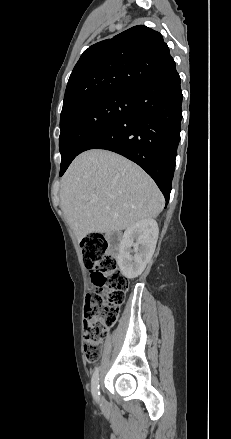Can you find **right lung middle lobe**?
<instances>
[{
  "mask_svg": "<svg viewBox=\"0 0 231 439\" xmlns=\"http://www.w3.org/2000/svg\"><path fill=\"white\" fill-rule=\"evenodd\" d=\"M133 108V93H114L84 100L61 113L60 171L69 166L92 135Z\"/></svg>",
  "mask_w": 231,
  "mask_h": 439,
  "instance_id": "dd1d6c3e",
  "label": "right lung middle lobe"
}]
</instances>
